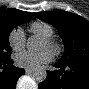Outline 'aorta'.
I'll return each mask as SVG.
<instances>
[{
	"label": "aorta",
	"instance_id": "1",
	"mask_svg": "<svg viewBox=\"0 0 89 89\" xmlns=\"http://www.w3.org/2000/svg\"><path fill=\"white\" fill-rule=\"evenodd\" d=\"M26 47L29 51H37L41 47V42L38 37L33 35L28 38ZM32 77L37 82H43L47 77V72L44 68L39 67L33 71Z\"/></svg>",
	"mask_w": 89,
	"mask_h": 89
}]
</instances>
